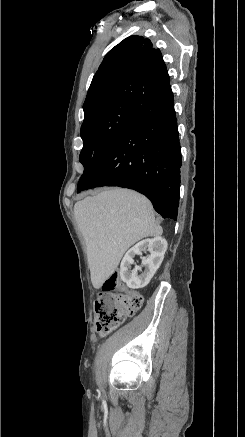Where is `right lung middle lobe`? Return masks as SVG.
<instances>
[{"label":"right lung middle lobe","mask_w":245,"mask_h":437,"mask_svg":"<svg viewBox=\"0 0 245 437\" xmlns=\"http://www.w3.org/2000/svg\"><path fill=\"white\" fill-rule=\"evenodd\" d=\"M138 109L139 106L132 103L115 102L97 107L84 116L81 126L83 148L80 153L84 172L77 190L81 182L110 151Z\"/></svg>","instance_id":"right-lung-middle-lobe-1"}]
</instances>
